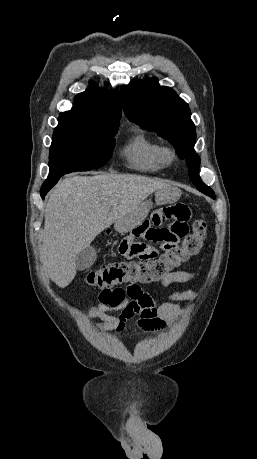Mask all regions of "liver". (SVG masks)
<instances>
[{
  "label": "liver",
  "instance_id": "liver-1",
  "mask_svg": "<svg viewBox=\"0 0 257 459\" xmlns=\"http://www.w3.org/2000/svg\"><path fill=\"white\" fill-rule=\"evenodd\" d=\"M168 183L133 174H99L64 179L45 208L41 261L60 288L74 279L76 255L103 230Z\"/></svg>",
  "mask_w": 257,
  "mask_h": 459
}]
</instances>
